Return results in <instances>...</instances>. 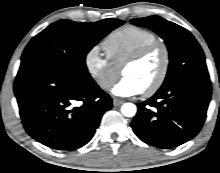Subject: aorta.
Segmentation results:
<instances>
[{"label":"aorta","instance_id":"obj_1","mask_svg":"<svg viewBox=\"0 0 220 173\" xmlns=\"http://www.w3.org/2000/svg\"><path fill=\"white\" fill-rule=\"evenodd\" d=\"M136 111H137V108L133 103H125L121 107V112L126 117L135 116Z\"/></svg>","mask_w":220,"mask_h":173}]
</instances>
